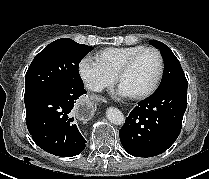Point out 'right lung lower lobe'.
<instances>
[{
    "label": "right lung lower lobe",
    "instance_id": "98d812e1",
    "mask_svg": "<svg viewBox=\"0 0 209 179\" xmlns=\"http://www.w3.org/2000/svg\"><path fill=\"white\" fill-rule=\"evenodd\" d=\"M84 85L54 89L26 108V124L34 142L60 157L80 154L86 140L72 116L75 100L85 94Z\"/></svg>",
    "mask_w": 209,
    "mask_h": 179
}]
</instances>
